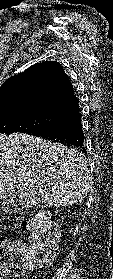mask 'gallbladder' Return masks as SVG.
<instances>
[{"instance_id": "bac80fb5", "label": "gallbladder", "mask_w": 113, "mask_h": 279, "mask_svg": "<svg viewBox=\"0 0 113 279\" xmlns=\"http://www.w3.org/2000/svg\"><path fill=\"white\" fill-rule=\"evenodd\" d=\"M11 207L12 206L8 204L7 199L0 200V210L3 209L5 212H10Z\"/></svg>"}]
</instances>
